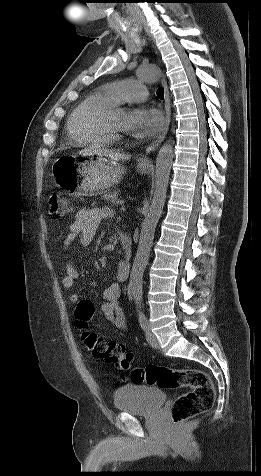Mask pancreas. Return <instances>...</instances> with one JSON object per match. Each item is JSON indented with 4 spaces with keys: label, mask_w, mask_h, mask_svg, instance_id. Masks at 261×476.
<instances>
[{
    "label": "pancreas",
    "mask_w": 261,
    "mask_h": 476,
    "mask_svg": "<svg viewBox=\"0 0 261 476\" xmlns=\"http://www.w3.org/2000/svg\"><path fill=\"white\" fill-rule=\"evenodd\" d=\"M118 196H119V191L104 194V198L106 199V201L110 205H119V204H121V200Z\"/></svg>",
    "instance_id": "obj_1"
}]
</instances>
